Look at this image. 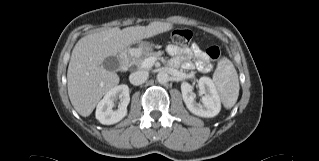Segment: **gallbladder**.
Segmentation results:
<instances>
[{
  "label": "gallbladder",
  "instance_id": "bac80fb5",
  "mask_svg": "<svg viewBox=\"0 0 319 161\" xmlns=\"http://www.w3.org/2000/svg\"><path fill=\"white\" fill-rule=\"evenodd\" d=\"M102 65L108 71H117L119 70L120 62L116 56H110L103 61Z\"/></svg>",
  "mask_w": 319,
  "mask_h": 161
}]
</instances>
